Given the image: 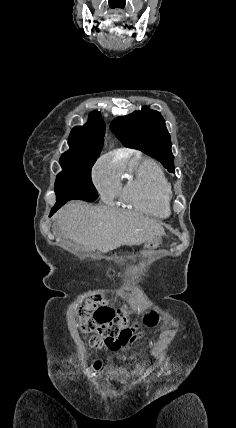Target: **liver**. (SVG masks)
<instances>
[{"label":"liver","mask_w":236,"mask_h":428,"mask_svg":"<svg viewBox=\"0 0 236 428\" xmlns=\"http://www.w3.org/2000/svg\"><path fill=\"white\" fill-rule=\"evenodd\" d=\"M55 218L64 238L100 252L116 250L121 244L139 246L165 234L160 224L143 214L93 208L83 202H69Z\"/></svg>","instance_id":"6515ba94"}]
</instances>
